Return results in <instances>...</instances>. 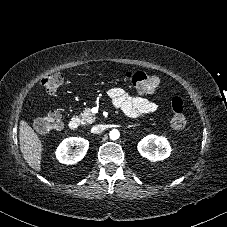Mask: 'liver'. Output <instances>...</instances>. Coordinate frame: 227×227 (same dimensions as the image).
<instances>
[{
	"mask_svg": "<svg viewBox=\"0 0 227 227\" xmlns=\"http://www.w3.org/2000/svg\"><path fill=\"white\" fill-rule=\"evenodd\" d=\"M20 150L27 164L34 170H41L42 143L34 130L25 121L19 126Z\"/></svg>",
	"mask_w": 227,
	"mask_h": 227,
	"instance_id": "1",
	"label": "liver"
}]
</instances>
